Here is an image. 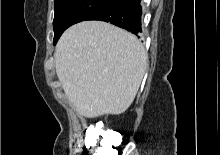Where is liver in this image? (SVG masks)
I'll return each mask as SVG.
<instances>
[{"label": "liver", "instance_id": "liver-1", "mask_svg": "<svg viewBox=\"0 0 220 155\" xmlns=\"http://www.w3.org/2000/svg\"><path fill=\"white\" fill-rule=\"evenodd\" d=\"M54 56L65 95L87 118L125 112L147 67V54L137 37L101 21L68 28Z\"/></svg>", "mask_w": 220, "mask_h": 155}]
</instances>
